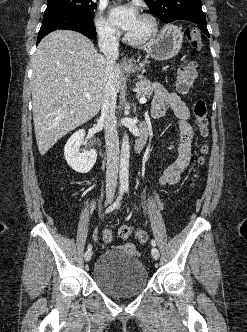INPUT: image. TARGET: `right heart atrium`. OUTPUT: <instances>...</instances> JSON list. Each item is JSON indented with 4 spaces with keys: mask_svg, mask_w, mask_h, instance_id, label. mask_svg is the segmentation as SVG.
Listing matches in <instances>:
<instances>
[{
    "mask_svg": "<svg viewBox=\"0 0 247 332\" xmlns=\"http://www.w3.org/2000/svg\"><path fill=\"white\" fill-rule=\"evenodd\" d=\"M95 27L98 37L103 43L112 44L116 41V31L101 11L95 19Z\"/></svg>",
    "mask_w": 247,
    "mask_h": 332,
    "instance_id": "right-heart-atrium-1",
    "label": "right heart atrium"
}]
</instances>
